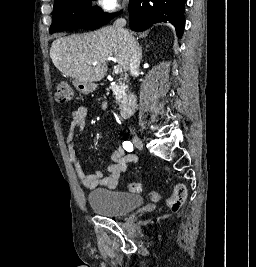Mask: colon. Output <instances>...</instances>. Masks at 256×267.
I'll list each match as a JSON object with an SVG mask.
<instances>
[{
    "instance_id": "5ec220e1",
    "label": "colon",
    "mask_w": 256,
    "mask_h": 267,
    "mask_svg": "<svg viewBox=\"0 0 256 267\" xmlns=\"http://www.w3.org/2000/svg\"><path fill=\"white\" fill-rule=\"evenodd\" d=\"M56 98L58 101L72 102L76 100L74 87L69 82H58L56 88ZM128 191L133 194H140L142 192V184L138 182H131L128 184ZM159 196L158 189L151 192V198L156 200ZM187 197V188L183 183H177L174 187L173 193L167 200V205L172 212H177Z\"/></svg>"
}]
</instances>
